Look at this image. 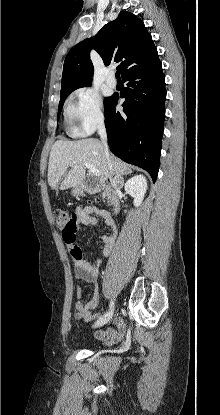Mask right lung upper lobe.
Listing matches in <instances>:
<instances>
[{
  "label": "right lung upper lobe",
  "mask_w": 220,
  "mask_h": 415,
  "mask_svg": "<svg viewBox=\"0 0 220 415\" xmlns=\"http://www.w3.org/2000/svg\"><path fill=\"white\" fill-rule=\"evenodd\" d=\"M91 49L99 53L105 65L119 63L122 78L158 60L157 49L144 23L134 14L121 11L93 38L83 40L69 51L64 61L60 94L91 85Z\"/></svg>",
  "instance_id": "right-lung-upper-lobe-1"
}]
</instances>
